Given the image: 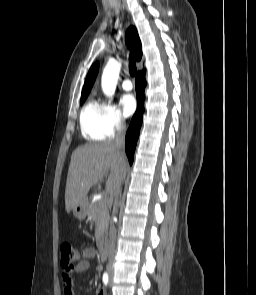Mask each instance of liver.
<instances>
[{
    "label": "liver",
    "mask_w": 256,
    "mask_h": 295,
    "mask_svg": "<svg viewBox=\"0 0 256 295\" xmlns=\"http://www.w3.org/2000/svg\"><path fill=\"white\" fill-rule=\"evenodd\" d=\"M126 170V157L112 142L90 143L74 150L65 189L67 213L85 203L90 188L108 172L106 191L112 195L116 184L125 178Z\"/></svg>",
    "instance_id": "obj_1"
}]
</instances>
